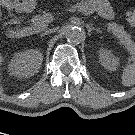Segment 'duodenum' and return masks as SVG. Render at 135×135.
Here are the masks:
<instances>
[{
  "mask_svg": "<svg viewBox=\"0 0 135 135\" xmlns=\"http://www.w3.org/2000/svg\"><path fill=\"white\" fill-rule=\"evenodd\" d=\"M29 31H30L29 27L10 28L9 31H7V35L11 39H21L24 36H26L29 33Z\"/></svg>",
  "mask_w": 135,
  "mask_h": 135,
  "instance_id": "1",
  "label": "duodenum"
}]
</instances>
